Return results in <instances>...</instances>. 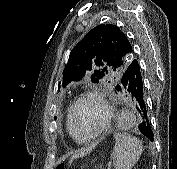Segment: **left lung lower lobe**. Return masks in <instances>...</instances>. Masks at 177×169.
<instances>
[{
    "instance_id": "0a47b994",
    "label": "left lung lower lobe",
    "mask_w": 177,
    "mask_h": 169,
    "mask_svg": "<svg viewBox=\"0 0 177 169\" xmlns=\"http://www.w3.org/2000/svg\"><path fill=\"white\" fill-rule=\"evenodd\" d=\"M116 89L121 92H127L132 96L134 104L142 117V122L139 124L138 129L144 136L153 141V132L144 101L142 70L137 59L132 60L127 66Z\"/></svg>"
}]
</instances>
